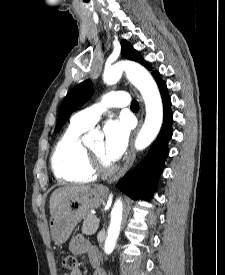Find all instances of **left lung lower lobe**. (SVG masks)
Listing matches in <instances>:
<instances>
[{
    "mask_svg": "<svg viewBox=\"0 0 225 275\" xmlns=\"http://www.w3.org/2000/svg\"><path fill=\"white\" fill-rule=\"evenodd\" d=\"M163 101V126L156 141L150 148L146 158L131 172L126 174L118 183V187L133 199L151 197L159 175L162 173L165 158L168 155V142L172 137L171 99L167 93L165 83L160 79L159 73L153 74Z\"/></svg>",
    "mask_w": 225,
    "mask_h": 275,
    "instance_id": "0a47b994",
    "label": "left lung lower lobe"
}]
</instances>
